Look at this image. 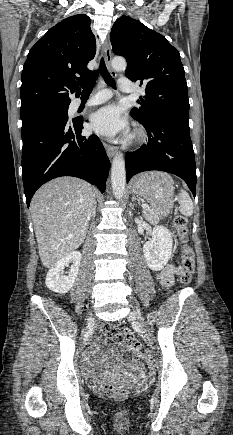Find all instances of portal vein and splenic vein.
Instances as JSON below:
<instances>
[{"instance_id": "18ae733b", "label": "portal vein and splenic vein", "mask_w": 233, "mask_h": 435, "mask_svg": "<svg viewBox=\"0 0 233 435\" xmlns=\"http://www.w3.org/2000/svg\"><path fill=\"white\" fill-rule=\"evenodd\" d=\"M141 207H142L143 209H145V208H149V206H148L147 204H142Z\"/></svg>"}]
</instances>
